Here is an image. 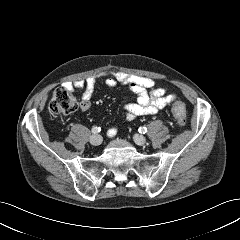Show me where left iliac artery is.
I'll list each match as a JSON object with an SVG mask.
<instances>
[{
	"instance_id": "obj_1",
	"label": "left iliac artery",
	"mask_w": 240,
	"mask_h": 240,
	"mask_svg": "<svg viewBox=\"0 0 240 240\" xmlns=\"http://www.w3.org/2000/svg\"><path fill=\"white\" fill-rule=\"evenodd\" d=\"M138 131L141 133V134H145L147 132V128L146 127H140L138 129Z\"/></svg>"
}]
</instances>
